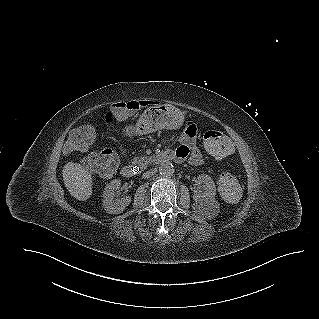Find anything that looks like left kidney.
<instances>
[{
	"instance_id": "1",
	"label": "left kidney",
	"mask_w": 319,
	"mask_h": 319,
	"mask_svg": "<svg viewBox=\"0 0 319 319\" xmlns=\"http://www.w3.org/2000/svg\"><path fill=\"white\" fill-rule=\"evenodd\" d=\"M197 179L199 184H204V192L195 191L193 198L196 204L202 207L205 206L206 208L211 206L219 208L217 202L214 200L216 187L213 179L208 175H199Z\"/></svg>"
}]
</instances>
